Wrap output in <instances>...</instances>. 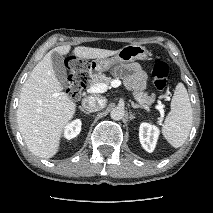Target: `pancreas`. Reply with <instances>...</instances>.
I'll return each mask as SVG.
<instances>
[{"mask_svg":"<svg viewBox=\"0 0 213 213\" xmlns=\"http://www.w3.org/2000/svg\"><path fill=\"white\" fill-rule=\"evenodd\" d=\"M112 81L113 79L110 77H107L105 74H98L92 79L91 84L95 85L99 83H104L109 86ZM132 94L134 99L137 102H139L142 106H150L155 101V94L149 95L147 92L137 91V90L133 91Z\"/></svg>","mask_w":213,"mask_h":213,"instance_id":"pancreas-1","label":"pancreas"}]
</instances>
